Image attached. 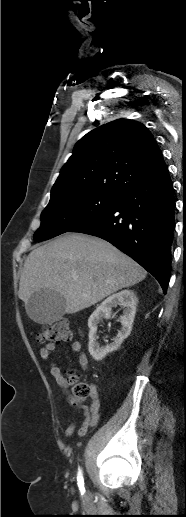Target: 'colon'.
<instances>
[{
    "label": "colon",
    "mask_w": 186,
    "mask_h": 517,
    "mask_svg": "<svg viewBox=\"0 0 186 517\" xmlns=\"http://www.w3.org/2000/svg\"><path fill=\"white\" fill-rule=\"evenodd\" d=\"M71 336L69 323L65 320L58 321L51 325L44 326L37 334L39 342H57L66 340ZM69 380L73 384L72 399L75 401H85L93 396V388L91 385L79 382L77 376L73 373L69 374Z\"/></svg>",
    "instance_id": "1"
}]
</instances>
